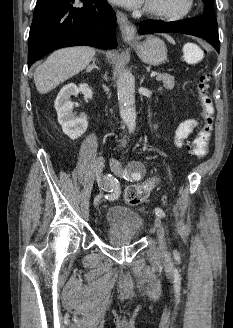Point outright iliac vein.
<instances>
[{
    "label": "right iliac vein",
    "mask_w": 233,
    "mask_h": 328,
    "mask_svg": "<svg viewBox=\"0 0 233 328\" xmlns=\"http://www.w3.org/2000/svg\"><path fill=\"white\" fill-rule=\"evenodd\" d=\"M103 167H104V158L103 156H98L97 159L95 160V164H94V169H95V174H96V178H97V182L100 188H103L104 186V182L102 180V171H103ZM101 200V194L97 195L94 198L93 204L94 206H97L100 203Z\"/></svg>",
    "instance_id": "63e3f726"
}]
</instances>
